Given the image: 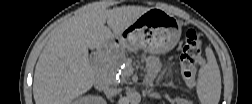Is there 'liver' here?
<instances>
[{
  "mask_svg": "<svg viewBox=\"0 0 252 104\" xmlns=\"http://www.w3.org/2000/svg\"><path fill=\"white\" fill-rule=\"evenodd\" d=\"M148 10L141 6L106 9L96 2L63 22L37 61L33 80L35 102L69 104L89 91L95 83V72L88 49L103 48Z\"/></svg>",
  "mask_w": 252,
  "mask_h": 104,
  "instance_id": "1",
  "label": "liver"
}]
</instances>
